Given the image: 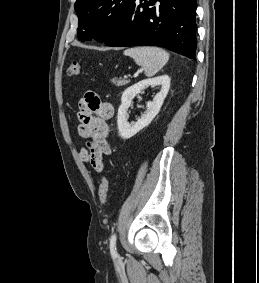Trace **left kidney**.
I'll return each mask as SVG.
<instances>
[{"mask_svg":"<svg viewBox=\"0 0 259 283\" xmlns=\"http://www.w3.org/2000/svg\"><path fill=\"white\" fill-rule=\"evenodd\" d=\"M160 86V91L155 95L152 101L147 102V110L141 118L135 123L128 122V108L132 99L147 87ZM170 88V77L162 75L152 79H145L127 88L121 97V105L118 109L117 124L119 136L123 139H129L140 130L148 126L155 116L159 113L165 97Z\"/></svg>","mask_w":259,"mask_h":283,"instance_id":"left-kidney-1","label":"left kidney"}]
</instances>
